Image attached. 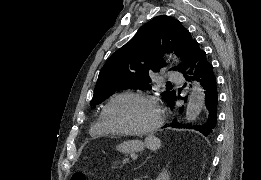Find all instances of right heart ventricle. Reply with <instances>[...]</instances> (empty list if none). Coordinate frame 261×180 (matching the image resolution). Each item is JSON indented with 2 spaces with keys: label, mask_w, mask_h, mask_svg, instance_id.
<instances>
[{
  "label": "right heart ventricle",
  "mask_w": 261,
  "mask_h": 180,
  "mask_svg": "<svg viewBox=\"0 0 261 180\" xmlns=\"http://www.w3.org/2000/svg\"><path fill=\"white\" fill-rule=\"evenodd\" d=\"M89 135L93 140L100 142H108L117 139L110 134L103 125L101 115H98L89 128Z\"/></svg>",
  "instance_id": "e07e8e85"
}]
</instances>
